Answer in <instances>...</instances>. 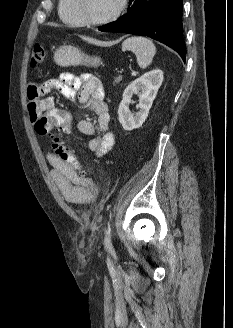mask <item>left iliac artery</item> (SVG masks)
Segmentation results:
<instances>
[{
    "mask_svg": "<svg viewBox=\"0 0 233 328\" xmlns=\"http://www.w3.org/2000/svg\"><path fill=\"white\" fill-rule=\"evenodd\" d=\"M104 246L107 250L112 249V243H111V229L108 227L105 230V238H104Z\"/></svg>",
    "mask_w": 233,
    "mask_h": 328,
    "instance_id": "44dca946",
    "label": "left iliac artery"
}]
</instances>
